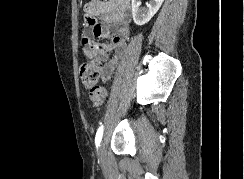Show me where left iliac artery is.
Segmentation results:
<instances>
[{
  "instance_id": "44dca946",
  "label": "left iliac artery",
  "mask_w": 244,
  "mask_h": 179,
  "mask_svg": "<svg viewBox=\"0 0 244 179\" xmlns=\"http://www.w3.org/2000/svg\"><path fill=\"white\" fill-rule=\"evenodd\" d=\"M102 136H103V125H101L99 127V129L97 130V133H96V137H95L96 147H98L100 145V142L102 140Z\"/></svg>"
}]
</instances>
